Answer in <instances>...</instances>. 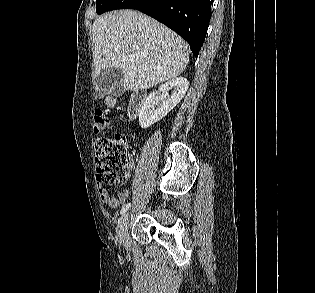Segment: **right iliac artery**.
Segmentation results:
<instances>
[{"label": "right iliac artery", "mask_w": 315, "mask_h": 293, "mask_svg": "<svg viewBox=\"0 0 315 293\" xmlns=\"http://www.w3.org/2000/svg\"><path fill=\"white\" fill-rule=\"evenodd\" d=\"M130 206H131V203L125 204V205L122 207L120 213L123 215V214L130 208Z\"/></svg>", "instance_id": "82829eb1"}]
</instances>
